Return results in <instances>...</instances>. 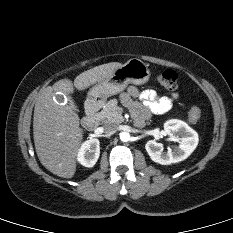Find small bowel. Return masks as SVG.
I'll return each mask as SVG.
<instances>
[{"label": "small bowel", "instance_id": "obj_1", "mask_svg": "<svg viewBox=\"0 0 233 233\" xmlns=\"http://www.w3.org/2000/svg\"><path fill=\"white\" fill-rule=\"evenodd\" d=\"M178 93L170 96L159 95L155 90L147 89L140 91L135 86H129L121 99L131 110L137 124L149 119L152 114L166 113L178 99ZM138 98L140 101L134 100Z\"/></svg>", "mask_w": 233, "mask_h": 233}]
</instances>
